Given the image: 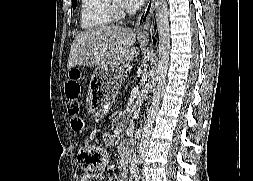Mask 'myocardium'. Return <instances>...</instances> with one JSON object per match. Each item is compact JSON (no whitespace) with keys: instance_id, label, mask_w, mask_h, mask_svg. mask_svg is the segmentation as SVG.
Listing matches in <instances>:
<instances>
[{"instance_id":"1","label":"myocardium","mask_w":253,"mask_h":181,"mask_svg":"<svg viewBox=\"0 0 253 181\" xmlns=\"http://www.w3.org/2000/svg\"><path fill=\"white\" fill-rule=\"evenodd\" d=\"M108 3L113 19H120L125 16V10L120 0H108Z\"/></svg>"}]
</instances>
